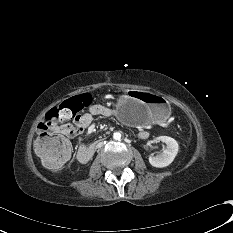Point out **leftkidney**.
<instances>
[{"mask_svg":"<svg viewBox=\"0 0 233 233\" xmlns=\"http://www.w3.org/2000/svg\"><path fill=\"white\" fill-rule=\"evenodd\" d=\"M156 141H161L166 144L165 149L162 153L157 156L150 155L149 156V163L158 168H163L170 165L174 158L176 157L179 145L177 141L168 136H160L156 138Z\"/></svg>","mask_w":233,"mask_h":233,"instance_id":"1","label":"left kidney"}]
</instances>
